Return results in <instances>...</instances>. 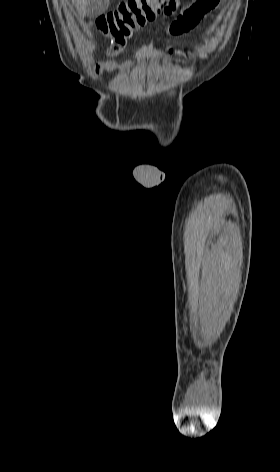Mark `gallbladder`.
<instances>
[{
    "label": "gallbladder",
    "mask_w": 280,
    "mask_h": 472,
    "mask_svg": "<svg viewBox=\"0 0 280 472\" xmlns=\"http://www.w3.org/2000/svg\"><path fill=\"white\" fill-rule=\"evenodd\" d=\"M109 6V0H89L87 5V16L96 18L103 14Z\"/></svg>",
    "instance_id": "1"
}]
</instances>
